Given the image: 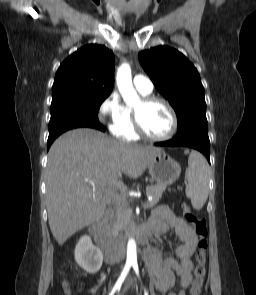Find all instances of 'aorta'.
Wrapping results in <instances>:
<instances>
[{"mask_svg": "<svg viewBox=\"0 0 256 295\" xmlns=\"http://www.w3.org/2000/svg\"><path fill=\"white\" fill-rule=\"evenodd\" d=\"M116 82L123 101L128 106H133L140 101L139 95L133 87L131 68L129 64H122L116 75ZM137 260L136 242L133 238L128 240L127 244V262Z\"/></svg>", "mask_w": 256, "mask_h": 295, "instance_id": "762f6f07", "label": "aorta"}]
</instances>
